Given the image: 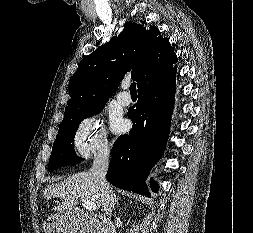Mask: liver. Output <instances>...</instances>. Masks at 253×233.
<instances>
[{
  "instance_id": "1",
  "label": "liver",
  "mask_w": 253,
  "mask_h": 233,
  "mask_svg": "<svg viewBox=\"0 0 253 233\" xmlns=\"http://www.w3.org/2000/svg\"><path fill=\"white\" fill-rule=\"evenodd\" d=\"M45 199H63L62 204L53 210L60 213L74 211L78 200L86 199L102 207L101 191L98 182L90 171L80 172L57 184H51L43 191Z\"/></svg>"
}]
</instances>
